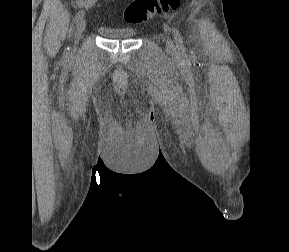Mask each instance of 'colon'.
Listing matches in <instances>:
<instances>
[{
	"mask_svg": "<svg viewBox=\"0 0 289 252\" xmlns=\"http://www.w3.org/2000/svg\"><path fill=\"white\" fill-rule=\"evenodd\" d=\"M180 5L181 0H132L124 11V20L139 24L154 15L174 12Z\"/></svg>",
	"mask_w": 289,
	"mask_h": 252,
	"instance_id": "5ec220e1",
	"label": "colon"
}]
</instances>
